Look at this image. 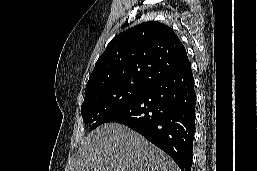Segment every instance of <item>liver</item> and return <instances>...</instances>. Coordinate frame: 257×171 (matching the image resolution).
I'll use <instances>...</instances> for the list:
<instances>
[{
  "label": "liver",
  "mask_w": 257,
  "mask_h": 171,
  "mask_svg": "<svg viewBox=\"0 0 257 171\" xmlns=\"http://www.w3.org/2000/svg\"><path fill=\"white\" fill-rule=\"evenodd\" d=\"M71 171H180L143 136L119 123H106L81 142Z\"/></svg>",
  "instance_id": "obj_1"
}]
</instances>
